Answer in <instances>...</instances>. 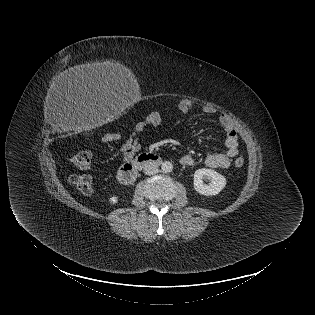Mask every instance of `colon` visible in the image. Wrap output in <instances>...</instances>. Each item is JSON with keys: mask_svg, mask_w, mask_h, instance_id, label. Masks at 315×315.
Here are the masks:
<instances>
[{"mask_svg": "<svg viewBox=\"0 0 315 315\" xmlns=\"http://www.w3.org/2000/svg\"><path fill=\"white\" fill-rule=\"evenodd\" d=\"M119 134L111 133L103 137L106 142H112L119 140ZM92 161V153L88 150H82L74 154L71 158L72 164L79 169L89 168ZM236 167H242L244 164V158L239 156L234 162ZM71 184L82 194L88 195L93 191V181L89 175H73L70 177Z\"/></svg>", "mask_w": 315, "mask_h": 315, "instance_id": "colon-1", "label": "colon"}]
</instances>
